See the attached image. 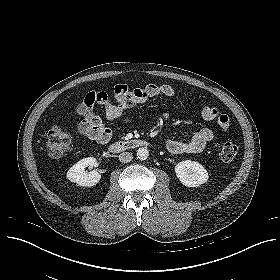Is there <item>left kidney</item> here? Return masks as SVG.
<instances>
[{
	"label": "left kidney",
	"instance_id": "obj_1",
	"mask_svg": "<svg viewBox=\"0 0 280 280\" xmlns=\"http://www.w3.org/2000/svg\"><path fill=\"white\" fill-rule=\"evenodd\" d=\"M175 173L180 182L187 187H198L208 180V172L198 162L185 160L175 166Z\"/></svg>",
	"mask_w": 280,
	"mask_h": 280
}]
</instances>
